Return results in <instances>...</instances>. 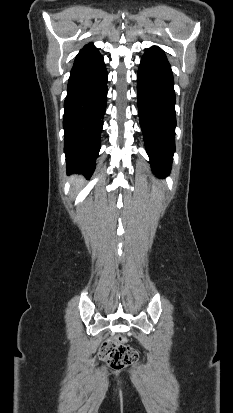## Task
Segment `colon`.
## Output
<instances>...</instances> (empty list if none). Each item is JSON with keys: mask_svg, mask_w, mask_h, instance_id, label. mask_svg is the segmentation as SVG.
I'll return each mask as SVG.
<instances>
[{"mask_svg": "<svg viewBox=\"0 0 233 413\" xmlns=\"http://www.w3.org/2000/svg\"><path fill=\"white\" fill-rule=\"evenodd\" d=\"M101 358L113 369H122L134 363L137 351L124 343L122 337H114L104 341L99 349Z\"/></svg>", "mask_w": 233, "mask_h": 413, "instance_id": "5ec220e1", "label": "colon"}]
</instances>
